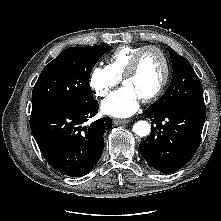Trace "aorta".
Segmentation results:
<instances>
[{
  "instance_id": "obj_1",
  "label": "aorta",
  "mask_w": 221,
  "mask_h": 221,
  "mask_svg": "<svg viewBox=\"0 0 221 221\" xmlns=\"http://www.w3.org/2000/svg\"><path fill=\"white\" fill-rule=\"evenodd\" d=\"M151 126L147 121H138L133 125V132L140 137L147 136L150 133Z\"/></svg>"
}]
</instances>
